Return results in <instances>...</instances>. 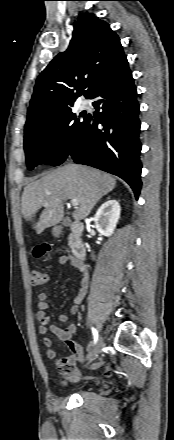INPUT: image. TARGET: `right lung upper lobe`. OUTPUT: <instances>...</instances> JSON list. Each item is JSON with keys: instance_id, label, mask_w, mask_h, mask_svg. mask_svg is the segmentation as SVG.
<instances>
[{"instance_id": "cb5924a9", "label": "right lung upper lobe", "mask_w": 174, "mask_h": 440, "mask_svg": "<svg viewBox=\"0 0 174 440\" xmlns=\"http://www.w3.org/2000/svg\"><path fill=\"white\" fill-rule=\"evenodd\" d=\"M125 61L120 39L109 24L92 15L79 16L68 49L36 81L25 131L70 109L81 86L88 87L85 96L90 98L103 79Z\"/></svg>"}]
</instances>
